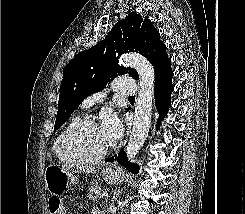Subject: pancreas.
I'll use <instances>...</instances> for the list:
<instances>
[{
	"label": "pancreas",
	"instance_id": "cf45deb5",
	"mask_svg": "<svg viewBox=\"0 0 245 214\" xmlns=\"http://www.w3.org/2000/svg\"><path fill=\"white\" fill-rule=\"evenodd\" d=\"M101 192V188L98 185L93 184L89 188L88 198L92 201H96L97 199H100L102 197Z\"/></svg>",
	"mask_w": 245,
	"mask_h": 214
}]
</instances>
